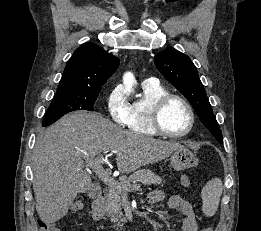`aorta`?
<instances>
[{
	"label": "aorta",
	"mask_w": 261,
	"mask_h": 231,
	"mask_svg": "<svg viewBox=\"0 0 261 231\" xmlns=\"http://www.w3.org/2000/svg\"><path fill=\"white\" fill-rule=\"evenodd\" d=\"M134 82V75L131 72H127L123 76V83L125 86H132Z\"/></svg>",
	"instance_id": "obj_1"
}]
</instances>
